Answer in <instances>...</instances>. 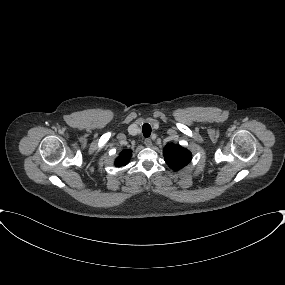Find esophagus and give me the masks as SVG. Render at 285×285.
<instances>
[{
  "label": "esophagus",
  "mask_w": 285,
  "mask_h": 285,
  "mask_svg": "<svg viewBox=\"0 0 285 285\" xmlns=\"http://www.w3.org/2000/svg\"><path fill=\"white\" fill-rule=\"evenodd\" d=\"M144 144L146 147H151L152 146V141L150 138L145 139Z\"/></svg>",
  "instance_id": "1"
}]
</instances>
